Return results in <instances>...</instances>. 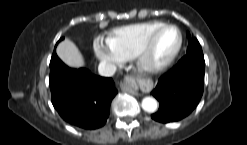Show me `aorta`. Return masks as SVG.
<instances>
[{"label":"aorta","mask_w":247,"mask_h":145,"mask_svg":"<svg viewBox=\"0 0 247 145\" xmlns=\"http://www.w3.org/2000/svg\"><path fill=\"white\" fill-rule=\"evenodd\" d=\"M141 106H142L144 111H146L148 113H153L157 110L158 103H157L156 99L153 97H145L142 100Z\"/></svg>","instance_id":"1"}]
</instances>
